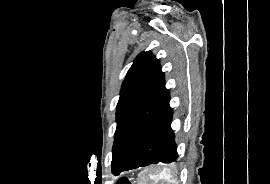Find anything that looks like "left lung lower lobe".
I'll list each match as a JSON object with an SVG mask.
<instances>
[{
  "label": "left lung lower lobe",
  "instance_id": "1",
  "mask_svg": "<svg viewBox=\"0 0 270 184\" xmlns=\"http://www.w3.org/2000/svg\"><path fill=\"white\" fill-rule=\"evenodd\" d=\"M170 93L138 136L120 168L122 171L158 163H172L178 158L174 132L171 128L173 110L169 105Z\"/></svg>",
  "mask_w": 270,
  "mask_h": 184
}]
</instances>
